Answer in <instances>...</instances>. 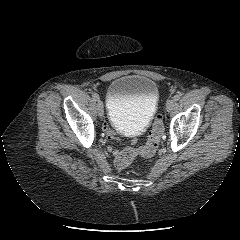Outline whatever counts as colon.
<instances>
[{
    "instance_id": "obj_1",
    "label": "colon",
    "mask_w": 240,
    "mask_h": 240,
    "mask_svg": "<svg viewBox=\"0 0 240 240\" xmlns=\"http://www.w3.org/2000/svg\"><path fill=\"white\" fill-rule=\"evenodd\" d=\"M163 132H164L163 121L162 117L159 115L156 117L153 123V127L149 133L146 144L139 148L131 146L121 151L119 155H117L115 158L116 167L118 169L126 168L132 162V160L138 155L147 157L152 156L159 146V142L161 140Z\"/></svg>"
}]
</instances>
